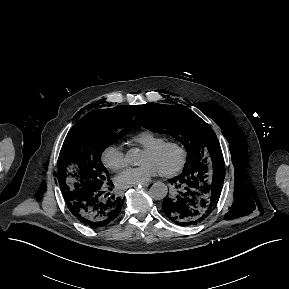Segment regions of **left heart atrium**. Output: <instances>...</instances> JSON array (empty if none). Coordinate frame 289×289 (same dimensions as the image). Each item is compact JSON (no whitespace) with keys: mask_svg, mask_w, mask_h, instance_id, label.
<instances>
[{"mask_svg":"<svg viewBox=\"0 0 289 289\" xmlns=\"http://www.w3.org/2000/svg\"><path fill=\"white\" fill-rule=\"evenodd\" d=\"M158 172L160 171L152 164L129 167L116 176L115 182L119 188L123 189L140 186L148 183Z\"/></svg>","mask_w":289,"mask_h":289,"instance_id":"39dd6f15","label":"left heart atrium"}]
</instances>
